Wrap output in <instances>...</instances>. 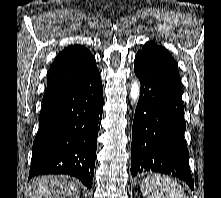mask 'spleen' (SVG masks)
<instances>
[{
  "label": "spleen",
  "instance_id": "spleen-1",
  "mask_svg": "<svg viewBox=\"0 0 221 198\" xmlns=\"http://www.w3.org/2000/svg\"><path fill=\"white\" fill-rule=\"evenodd\" d=\"M143 195L147 198H188L181 185L172 177L154 174L140 184Z\"/></svg>",
  "mask_w": 221,
  "mask_h": 198
}]
</instances>
